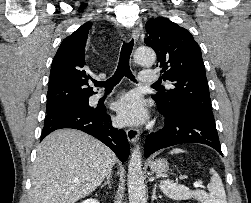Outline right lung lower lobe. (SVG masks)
I'll use <instances>...</instances> for the list:
<instances>
[{"label": "right lung lower lobe", "instance_id": "1", "mask_svg": "<svg viewBox=\"0 0 251 203\" xmlns=\"http://www.w3.org/2000/svg\"><path fill=\"white\" fill-rule=\"evenodd\" d=\"M62 128L78 129L94 136L111 148L121 162L129 156L130 146L125 131L112 126L105 109L65 107L47 113L41 140Z\"/></svg>", "mask_w": 251, "mask_h": 203}]
</instances>
